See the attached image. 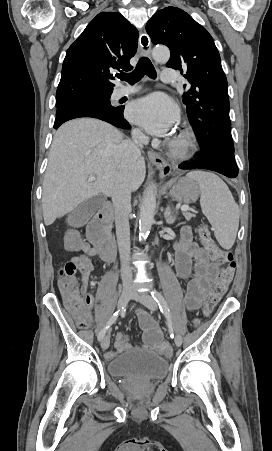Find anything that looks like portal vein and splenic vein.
Returning a JSON list of instances; mask_svg holds the SVG:
<instances>
[{
	"instance_id": "18ae733b",
	"label": "portal vein and splenic vein",
	"mask_w": 272,
	"mask_h": 451,
	"mask_svg": "<svg viewBox=\"0 0 272 451\" xmlns=\"http://www.w3.org/2000/svg\"><path fill=\"white\" fill-rule=\"evenodd\" d=\"M93 180H96V178H94V176H91V178H88V182H93ZM180 210H182V212H188V210H190L189 206H181Z\"/></svg>"
}]
</instances>
